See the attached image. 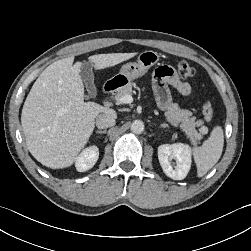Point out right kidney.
<instances>
[{
	"label": "right kidney",
	"instance_id": "1",
	"mask_svg": "<svg viewBox=\"0 0 251 251\" xmlns=\"http://www.w3.org/2000/svg\"><path fill=\"white\" fill-rule=\"evenodd\" d=\"M99 158V150L96 146H90L84 149L76 158V169L84 172L91 169Z\"/></svg>",
	"mask_w": 251,
	"mask_h": 251
}]
</instances>
